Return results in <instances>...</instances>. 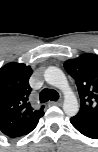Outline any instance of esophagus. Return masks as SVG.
Segmentation results:
<instances>
[{
	"label": "esophagus",
	"mask_w": 98,
	"mask_h": 152,
	"mask_svg": "<svg viewBox=\"0 0 98 152\" xmlns=\"http://www.w3.org/2000/svg\"><path fill=\"white\" fill-rule=\"evenodd\" d=\"M51 105H61L62 104V100H58V101H52L50 102Z\"/></svg>",
	"instance_id": "esophagus-1"
}]
</instances>
